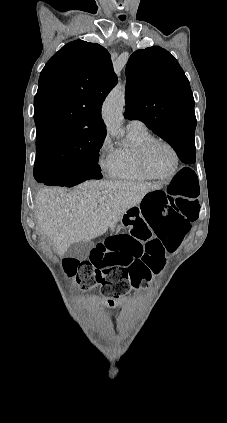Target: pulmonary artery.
<instances>
[{"label": "pulmonary artery", "mask_w": 227, "mask_h": 423, "mask_svg": "<svg viewBox=\"0 0 227 423\" xmlns=\"http://www.w3.org/2000/svg\"><path fill=\"white\" fill-rule=\"evenodd\" d=\"M126 127L127 129L145 128V125L139 120H130L128 121Z\"/></svg>", "instance_id": "1"}]
</instances>
